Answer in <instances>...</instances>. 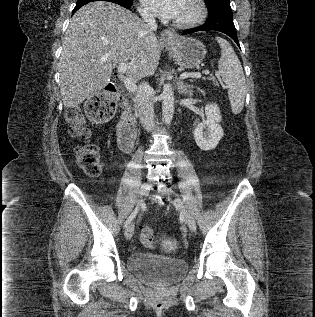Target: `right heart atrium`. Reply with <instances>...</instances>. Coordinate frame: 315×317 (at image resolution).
<instances>
[{
	"label": "right heart atrium",
	"mask_w": 315,
	"mask_h": 317,
	"mask_svg": "<svg viewBox=\"0 0 315 317\" xmlns=\"http://www.w3.org/2000/svg\"><path fill=\"white\" fill-rule=\"evenodd\" d=\"M139 11L144 17H150V12L145 7L140 6Z\"/></svg>",
	"instance_id": "d8ad5b80"
}]
</instances>
